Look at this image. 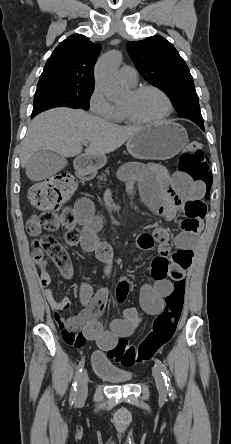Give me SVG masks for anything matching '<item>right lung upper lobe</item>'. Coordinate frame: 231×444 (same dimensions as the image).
Returning <instances> with one entry per match:
<instances>
[{"label": "right lung upper lobe", "instance_id": "cb5924a9", "mask_svg": "<svg viewBox=\"0 0 231 444\" xmlns=\"http://www.w3.org/2000/svg\"><path fill=\"white\" fill-rule=\"evenodd\" d=\"M101 50L84 35L62 41L49 57L37 87L68 85L94 87L93 66Z\"/></svg>", "mask_w": 231, "mask_h": 444}]
</instances>
